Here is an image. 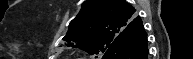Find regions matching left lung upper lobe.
Wrapping results in <instances>:
<instances>
[{"instance_id": "left-lung-upper-lobe-1", "label": "left lung upper lobe", "mask_w": 193, "mask_h": 59, "mask_svg": "<svg viewBox=\"0 0 193 59\" xmlns=\"http://www.w3.org/2000/svg\"><path fill=\"white\" fill-rule=\"evenodd\" d=\"M137 18L136 9L125 0H87L70 22L63 40L67 41V46L81 48L91 55H101Z\"/></svg>"}]
</instances>
